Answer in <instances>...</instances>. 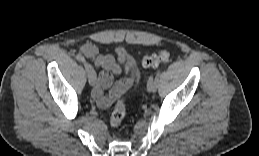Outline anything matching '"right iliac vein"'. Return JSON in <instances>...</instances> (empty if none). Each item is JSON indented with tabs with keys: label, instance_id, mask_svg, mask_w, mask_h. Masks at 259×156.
Here are the masks:
<instances>
[{
	"label": "right iliac vein",
	"instance_id": "right-iliac-vein-1",
	"mask_svg": "<svg viewBox=\"0 0 259 156\" xmlns=\"http://www.w3.org/2000/svg\"><path fill=\"white\" fill-rule=\"evenodd\" d=\"M85 69L87 72V76H88V80L91 86H94L96 83V72L94 71V69L92 68L91 65L89 64H85Z\"/></svg>",
	"mask_w": 259,
	"mask_h": 156
}]
</instances>
